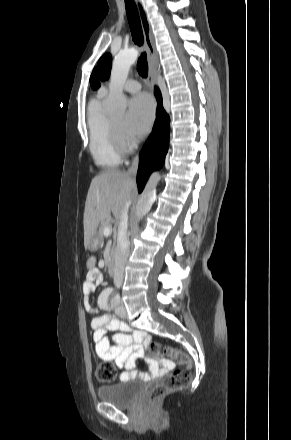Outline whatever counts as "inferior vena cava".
I'll return each mask as SVG.
<instances>
[{
    "mask_svg": "<svg viewBox=\"0 0 291 440\" xmlns=\"http://www.w3.org/2000/svg\"><path fill=\"white\" fill-rule=\"evenodd\" d=\"M138 168V157H135L131 167L128 169L127 173L129 175H136ZM130 201L127 203L124 209L119 227H118V241L115 255V269H114V284L117 288H120L123 283L125 264L129 255L130 241L127 235L128 229V208Z\"/></svg>",
    "mask_w": 291,
    "mask_h": 440,
    "instance_id": "602c4592",
    "label": "inferior vena cava"
}]
</instances>
